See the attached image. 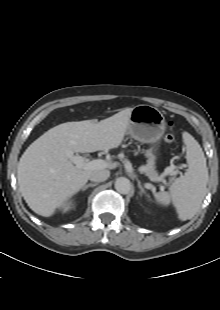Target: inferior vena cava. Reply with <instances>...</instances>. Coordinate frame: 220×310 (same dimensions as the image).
<instances>
[{
	"label": "inferior vena cava",
	"instance_id": "obj_1",
	"mask_svg": "<svg viewBox=\"0 0 220 310\" xmlns=\"http://www.w3.org/2000/svg\"><path fill=\"white\" fill-rule=\"evenodd\" d=\"M110 172L108 170L95 171L91 174L90 180L93 182H103L108 179Z\"/></svg>",
	"mask_w": 220,
	"mask_h": 310
}]
</instances>
